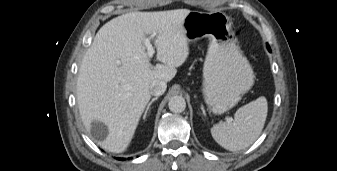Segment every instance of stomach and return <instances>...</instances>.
Listing matches in <instances>:
<instances>
[{"mask_svg":"<svg viewBox=\"0 0 337 171\" xmlns=\"http://www.w3.org/2000/svg\"><path fill=\"white\" fill-rule=\"evenodd\" d=\"M186 38L209 39L203 68V96L214 114L233 108L254 84V73L232 36L230 18L223 12L191 11L183 22Z\"/></svg>","mask_w":337,"mask_h":171,"instance_id":"0dacf381","label":"stomach"}]
</instances>
